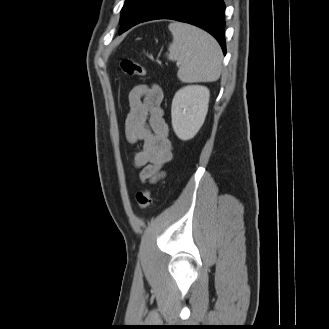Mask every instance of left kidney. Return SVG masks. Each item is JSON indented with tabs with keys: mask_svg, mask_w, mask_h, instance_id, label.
<instances>
[{
	"mask_svg": "<svg viewBox=\"0 0 329 329\" xmlns=\"http://www.w3.org/2000/svg\"><path fill=\"white\" fill-rule=\"evenodd\" d=\"M210 93L201 85H188L178 90L172 101V127L183 141L192 139L202 127L208 111Z\"/></svg>",
	"mask_w": 329,
	"mask_h": 329,
	"instance_id": "obj_1",
	"label": "left kidney"
}]
</instances>
